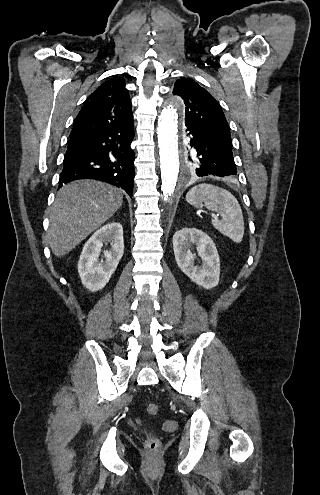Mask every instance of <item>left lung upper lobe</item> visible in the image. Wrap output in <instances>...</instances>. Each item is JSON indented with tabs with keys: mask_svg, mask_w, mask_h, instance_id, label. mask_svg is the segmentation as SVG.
<instances>
[{
	"mask_svg": "<svg viewBox=\"0 0 320 495\" xmlns=\"http://www.w3.org/2000/svg\"><path fill=\"white\" fill-rule=\"evenodd\" d=\"M173 94L181 97L185 103V123H191L217 143L232 150L230 129L218 102L194 80L181 77L176 80ZM199 152H188L186 171L188 175H197Z\"/></svg>",
	"mask_w": 320,
	"mask_h": 495,
	"instance_id": "1",
	"label": "left lung upper lobe"
}]
</instances>
